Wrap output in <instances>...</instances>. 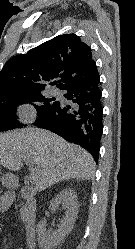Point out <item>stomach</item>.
<instances>
[{"label": "stomach", "instance_id": "0dacf381", "mask_svg": "<svg viewBox=\"0 0 135 249\" xmlns=\"http://www.w3.org/2000/svg\"><path fill=\"white\" fill-rule=\"evenodd\" d=\"M3 182H5V184H13L15 182V178L12 175H4L2 177Z\"/></svg>", "mask_w": 135, "mask_h": 249}]
</instances>
